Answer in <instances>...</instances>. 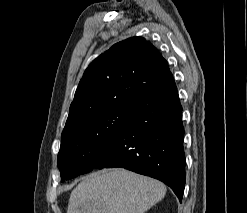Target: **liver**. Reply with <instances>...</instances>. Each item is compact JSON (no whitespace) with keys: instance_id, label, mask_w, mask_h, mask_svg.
I'll return each instance as SVG.
<instances>
[{"instance_id":"6515ba94","label":"liver","mask_w":247,"mask_h":213,"mask_svg":"<svg viewBox=\"0 0 247 213\" xmlns=\"http://www.w3.org/2000/svg\"><path fill=\"white\" fill-rule=\"evenodd\" d=\"M166 191L162 182L123 168L98 171L71 192L67 213H144Z\"/></svg>"}]
</instances>
